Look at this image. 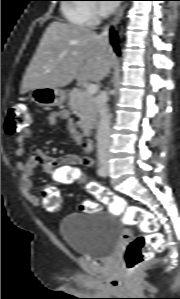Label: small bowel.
<instances>
[{"label":"small bowel","instance_id":"obj_1","mask_svg":"<svg viewBox=\"0 0 180 299\" xmlns=\"http://www.w3.org/2000/svg\"><path fill=\"white\" fill-rule=\"evenodd\" d=\"M59 120L67 122V129L72 139L81 147L85 154L92 150V142L90 140H83L81 133L76 129L73 120L71 119L67 110L52 111L47 114V122L50 125H56ZM32 131L25 129L16 137L15 155L21 157L24 155V144L26 140L31 138ZM92 165V160L88 156L82 158L69 155L63 157H51L46 155L41 150L33 151L27 161H18L17 169L21 173V187L24 191L28 201L33 206L40 205V199L32 193L31 176L36 167H40L46 173H52L55 179L61 183H68L80 167H89Z\"/></svg>","mask_w":180,"mask_h":299}]
</instances>
